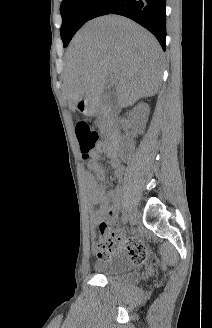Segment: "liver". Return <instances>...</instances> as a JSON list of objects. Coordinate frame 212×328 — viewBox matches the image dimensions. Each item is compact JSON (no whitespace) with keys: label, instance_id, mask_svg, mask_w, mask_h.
<instances>
[{"label":"liver","instance_id":"1","mask_svg":"<svg viewBox=\"0 0 212 328\" xmlns=\"http://www.w3.org/2000/svg\"><path fill=\"white\" fill-rule=\"evenodd\" d=\"M161 55L155 37L125 17L107 15L87 22L66 53L63 84L70 109L83 98L89 102L101 95L109 73L121 108L155 95Z\"/></svg>","mask_w":212,"mask_h":328}]
</instances>
